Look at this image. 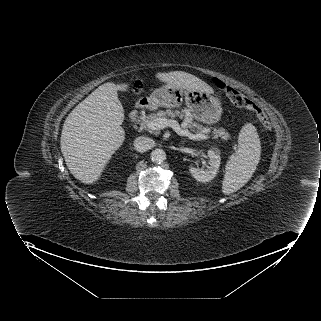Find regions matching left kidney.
Segmentation results:
<instances>
[{"mask_svg": "<svg viewBox=\"0 0 321 321\" xmlns=\"http://www.w3.org/2000/svg\"><path fill=\"white\" fill-rule=\"evenodd\" d=\"M207 156L209 158L207 169L203 170L193 166L189 167L190 174L200 182H209L213 180L220 167L221 158L216 149H210Z\"/></svg>", "mask_w": 321, "mask_h": 321, "instance_id": "obj_1", "label": "left kidney"}]
</instances>
